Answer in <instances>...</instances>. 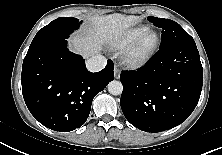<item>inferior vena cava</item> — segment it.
<instances>
[{
    "label": "inferior vena cava",
    "instance_id": "602c4592",
    "mask_svg": "<svg viewBox=\"0 0 222 155\" xmlns=\"http://www.w3.org/2000/svg\"><path fill=\"white\" fill-rule=\"evenodd\" d=\"M107 63V59L102 55H94L86 62V67L90 72H98L102 70Z\"/></svg>",
    "mask_w": 222,
    "mask_h": 155
}]
</instances>
